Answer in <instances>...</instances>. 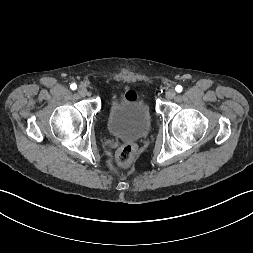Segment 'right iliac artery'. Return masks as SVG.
Here are the masks:
<instances>
[{
    "instance_id": "right-iliac-artery-1",
    "label": "right iliac artery",
    "mask_w": 253,
    "mask_h": 253,
    "mask_svg": "<svg viewBox=\"0 0 253 253\" xmlns=\"http://www.w3.org/2000/svg\"><path fill=\"white\" fill-rule=\"evenodd\" d=\"M70 88H71L72 90H75V89H77V85L73 83V84L70 85Z\"/></svg>"
}]
</instances>
